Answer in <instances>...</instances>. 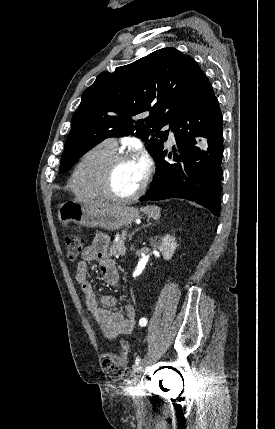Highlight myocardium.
<instances>
[{"instance_id":"1","label":"myocardium","mask_w":275,"mask_h":429,"mask_svg":"<svg viewBox=\"0 0 275 429\" xmlns=\"http://www.w3.org/2000/svg\"><path fill=\"white\" fill-rule=\"evenodd\" d=\"M134 158V155L131 153H116L105 162L99 178V190L103 198L114 202H131L138 199L143 194L149 179L148 172L146 173L140 187L131 195L119 196L113 192L111 187L112 176L116 166L121 162Z\"/></svg>"}]
</instances>
